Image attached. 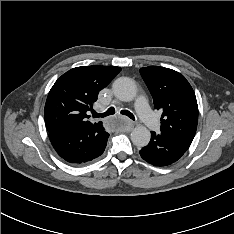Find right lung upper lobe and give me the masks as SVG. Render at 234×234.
<instances>
[{"label":"right lung upper lobe","mask_w":234,"mask_h":234,"mask_svg":"<svg viewBox=\"0 0 234 234\" xmlns=\"http://www.w3.org/2000/svg\"><path fill=\"white\" fill-rule=\"evenodd\" d=\"M121 71L116 66L76 67L63 74L52 86L44 109L48 132L76 125L92 124L89 111L97 100L100 90L105 88Z\"/></svg>","instance_id":"1"}]
</instances>
